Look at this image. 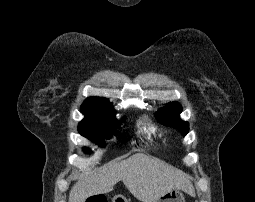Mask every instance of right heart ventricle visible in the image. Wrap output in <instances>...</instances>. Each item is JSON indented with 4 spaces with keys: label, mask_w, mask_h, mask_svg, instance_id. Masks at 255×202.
Masks as SVG:
<instances>
[{
    "label": "right heart ventricle",
    "mask_w": 255,
    "mask_h": 202,
    "mask_svg": "<svg viewBox=\"0 0 255 202\" xmlns=\"http://www.w3.org/2000/svg\"><path fill=\"white\" fill-rule=\"evenodd\" d=\"M151 131L154 133L155 132V128L151 127Z\"/></svg>",
    "instance_id": "right-heart-ventricle-1"
}]
</instances>
